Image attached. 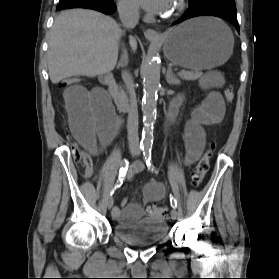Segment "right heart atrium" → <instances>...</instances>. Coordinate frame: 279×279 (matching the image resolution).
<instances>
[{
  "instance_id": "obj_1",
  "label": "right heart atrium",
  "mask_w": 279,
  "mask_h": 279,
  "mask_svg": "<svg viewBox=\"0 0 279 279\" xmlns=\"http://www.w3.org/2000/svg\"><path fill=\"white\" fill-rule=\"evenodd\" d=\"M118 8L125 17H135L138 14V8L133 0H119Z\"/></svg>"
}]
</instances>
